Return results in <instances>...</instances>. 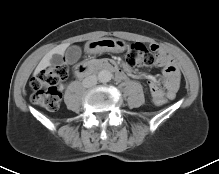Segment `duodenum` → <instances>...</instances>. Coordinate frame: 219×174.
I'll return each instance as SVG.
<instances>
[{"mask_svg":"<svg viewBox=\"0 0 219 174\" xmlns=\"http://www.w3.org/2000/svg\"><path fill=\"white\" fill-rule=\"evenodd\" d=\"M100 70H109L114 71L116 73L119 72V69L114 61L111 60H103L99 62H91L86 65H81L76 68L75 75L77 77H85L92 74L95 71Z\"/></svg>","mask_w":219,"mask_h":174,"instance_id":"410a0bca","label":"duodenum"}]
</instances>
